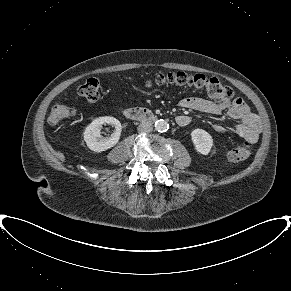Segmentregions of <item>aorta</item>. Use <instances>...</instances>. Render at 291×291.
Masks as SVG:
<instances>
[{
    "label": "aorta",
    "instance_id": "obj_1",
    "mask_svg": "<svg viewBox=\"0 0 291 291\" xmlns=\"http://www.w3.org/2000/svg\"><path fill=\"white\" fill-rule=\"evenodd\" d=\"M155 129L158 132H166L169 129V124L165 120H157L155 122Z\"/></svg>",
    "mask_w": 291,
    "mask_h": 291
}]
</instances>
